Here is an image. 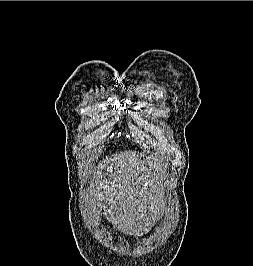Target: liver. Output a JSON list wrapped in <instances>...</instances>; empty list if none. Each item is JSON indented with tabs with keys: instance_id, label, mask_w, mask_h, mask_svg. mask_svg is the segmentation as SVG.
Segmentation results:
<instances>
[{
	"instance_id": "1",
	"label": "liver",
	"mask_w": 253,
	"mask_h": 266,
	"mask_svg": "<svg viewBox=\"0 0 253 266\" xmlns=\"http://www.w3.org/2000/svg\"><path fill=\"white\" fill-rule=\"evenodd\" d=\"M161 167V161L142 160L133 151L121 152L100 163L89 191L94 223L98 224L103 208L117 230L125 235H142L150 226L148 205L157 195L151 180Z\"/></svg>"
}]
</instances>
